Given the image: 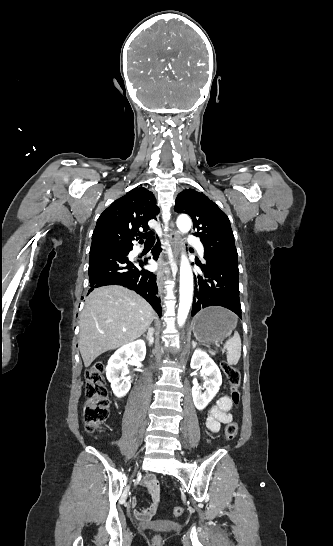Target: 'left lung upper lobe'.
<instances>
[{
    "label": "left lung upper lobe",
    "instance_id": "5c2ea615",
    "mask_svg": "<svg viewBox=\"0 0 333 546\" xmlns=\"http://www.w3.org/2000/svg\"><path fill=\"white\" fill-rule=\"evenodd\" d=\"M175 211L192 218L194 235L203 243L205 259L237 261L229 218L207 196L192 189L183 190L176 198Z\"/></svg>",
    "mask_w": 333,
    "mask_h": 546
}]
</instances>
